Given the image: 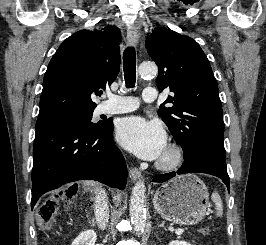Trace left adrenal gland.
<instances>
[{
    "instance_id": "obj_1",
    "label": "left adrenal gland",
    "mask_w": 266,
    "mask_h": 245,
    "mask_svg": "<svg viewBox=\"0 0 266 245\" xmlns=\"http://www.w3.org/2000/svg\"><path fill=\"white\" fill-rule=\"evenodd\" d=\"M159 227H163L164 231H167V229L165 227V223H162V225H159Z\"/></svg>"
}]
</instances>
